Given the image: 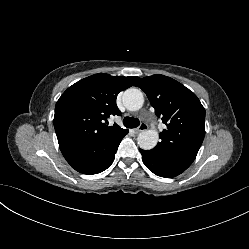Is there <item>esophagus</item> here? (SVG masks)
<instances>
[{
  "mask_svg": "<svg viewBox=\"0 0 249 249\" xmlns=\"http://www.w3.org/2000/svg\"><path fill=\"white\" fill-rule=\"evenodd\" d=\"M148 128L146 123H141L140 126L138 128L135 129L136 133H140L145 131Z\"/></svg>",
  "mask_w": 249,
  "mask_h": 249,
  "instance_id": "esophagus-1",
  "label": "esophagus"
}]
</instances>
